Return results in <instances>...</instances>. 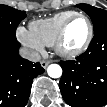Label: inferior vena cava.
<instances>
[{"instance_id": "inferior-vena-cava-1", "label": "inferior vena cava", "mask_w": 107, "mask_h": 107, "mask_svg": "<svg viewBox=\"0 0 107 107\" xmlns=\"http://www.w3.org/2000/svg\"><path fill=\"white\" fill-rule=\"evenodd\" d=\"M19 54L21 57L32 62H38L41 59V56L38 52L25 48V47L20 48Z\"/></svg>"}]
</instances>
